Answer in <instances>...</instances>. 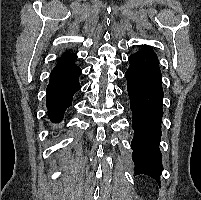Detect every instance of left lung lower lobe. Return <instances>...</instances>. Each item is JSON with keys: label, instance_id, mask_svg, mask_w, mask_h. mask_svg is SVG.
<instances>
[{"label": "left lung lower lobe", "instance_id": "0a47b994", "mask_svg": "<svg viewBox=\"0 0 201 200\" xmlns=\"http://www.w3.org/2000/svg\"><path fill=\"white\" fill-rule=\"evenodd\" d=\"M125 73L133 113L134 138L131 142L135 174H145L160 182L163 170L159 149L163 116L162 75L154 52L129 56Z\"/></svg>", "mask_w": 201, "mask_h": 200}]
</instances>
